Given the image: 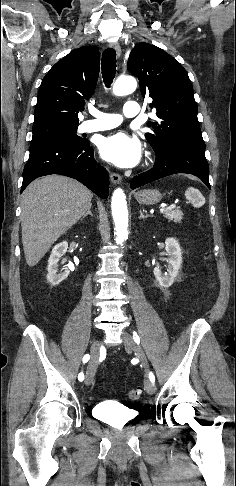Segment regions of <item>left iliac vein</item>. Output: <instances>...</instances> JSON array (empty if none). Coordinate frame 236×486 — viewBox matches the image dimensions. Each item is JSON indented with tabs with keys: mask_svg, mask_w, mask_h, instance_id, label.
I'll use <instances>...</instances> for the list:
<instances>
[{
	"mask_svg": "<svg viewBox=\"0 0 236 486\" xmlns=\"http://www.w3.org/2000/svg\"><path fill=\"white\" fill-rule=\"evenodd\" d=\"M124 345L128 350H132L136 356L139 358L140 362L142 363L145 373H146V379L144 382V388L146 392L150 395L154 394L156 392V386L155 384L149 379L148 373H149V365L145 356V353L143 349L137 345V343L134 341L132 336L127 333L126 331H123L122 333Z\"/></svg>",
	"mask_w": 236,
	"mask_h": 486,
	"instance_id": "obj_1",
	"label": "left iliac vein"
}]
</instances>
